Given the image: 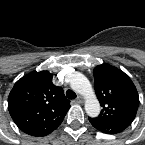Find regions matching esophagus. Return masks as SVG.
I'll return each instance as SVG.
<instances>
[{"mask_svg": "<svg viewBox=\"0 0 145 145\" xmlns=\"http://www.w3.org/2000/svg\"><path fill=\"white\" fill-rule=\"evenodd\" d=\"M75 102L81 104V103L84 102V99H83L82 96H78V97L76 98Z\"/></svg>", "mask_w": 145, "mask_h": 145, "instance_id": "34e87169", "label": "esophagus"}]
</instances>
